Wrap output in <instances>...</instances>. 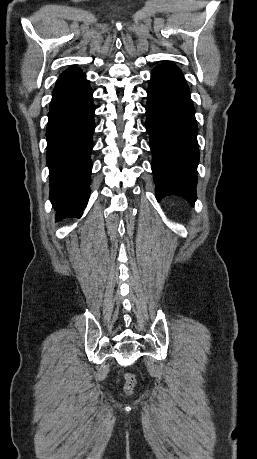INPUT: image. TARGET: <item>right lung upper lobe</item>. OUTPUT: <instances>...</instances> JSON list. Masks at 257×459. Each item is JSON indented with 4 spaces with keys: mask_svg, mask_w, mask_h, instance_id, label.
<instances>
[{
    "mask_svg": "<svg viewBox=\"0 0 257 459\" xmlns=\"http://www.w3.org/2000/svg\"><path fill=\"white\" fill-rule=\"evenodd\" d=\"M82 74V70L77 67H71L64 71L59 78Z\"/></svg>",
    "mask_w": 257,
    "mask_h": 459,
    "instance_id": "obj_1",
    "label": "right lung upper lobe"
}]
</instances>
